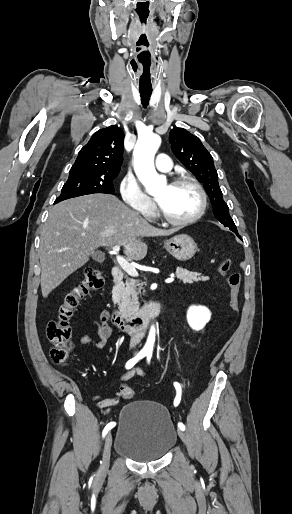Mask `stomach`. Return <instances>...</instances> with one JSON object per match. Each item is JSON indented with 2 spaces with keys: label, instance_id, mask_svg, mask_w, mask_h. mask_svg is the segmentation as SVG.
Returning <instances> with one entry per match:
<instances>
[{
  "label": "stomach",
  "instance_id": "obj_1",
  "mask_svg": "<svg viewBox=\"0 0 292 514\" xmlns=\"http://www.w3.org/2000/svg\"><path fill=\"white\" fill-rule=\"evenodd\" d=\"M164 248L171 256H174L176 260H181V262L190 260L197 252V246L193 238H190L187 234H178V236L166 240Z\"/></svg>",
  "mask_w": 292,
  "mask_h": 514
}]
</instances>
